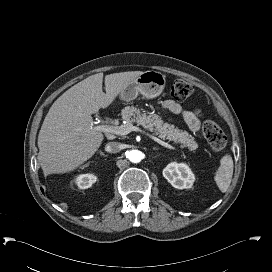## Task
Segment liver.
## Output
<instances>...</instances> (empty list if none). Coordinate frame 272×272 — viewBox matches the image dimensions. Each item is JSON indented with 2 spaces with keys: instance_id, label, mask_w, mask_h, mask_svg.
I'll return each mask as SVG.
<instances>
[{
  "instance_id": "liver-1",
  "label": "liver",
  "mask_w": 272,
  "mask_h": 272,
  "mask_svg": "<svg viewBox=\"0 0 272 272\" xmlns=\"http://www.w3.org/2000/svg\"><path fill=\"white\" fill-rule=\"evenodd\" d=\"M142 71L94 74L64 92L50 107L38 135V161L47 176L74 170L90 159L104 135L95 129L92 114L108 107Z\"/></svg>"
}]
</instances>
